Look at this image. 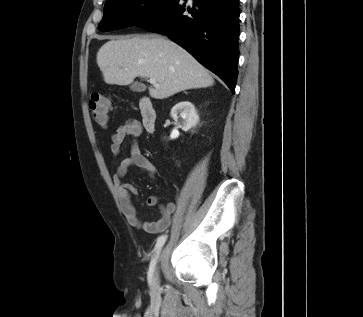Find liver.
I'll return each instance as SVG.
<instances>
[{
    "instance_id": "obj_1",
    "label": "liver",
    "mask_w": 363,
    "mask_h": 317,
    "mask_svg": "<svg viewBox=\"0 0 363 317\" xmlns=\"http://www.w3.org/2000/svg\"><path fill=\"white\" fill-rule=\"evenodd\" d=\"M97 64L110 85H128L138 76L155 79L159 87H149L155 99L214 84L209 71L190 53L158 35L112 39L99 49Z\"/></svg>"
}]
</instances>
